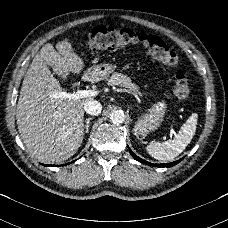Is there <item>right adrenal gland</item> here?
Masks as SVG:
<instances>
[{
    "instance_id": "1",
    "label": "right adrenal gland",
    "mask_w": 228,
    "mask_h": 228,
    "mask_svg": "<svg viewBox=\"0 0 228 228\" xmlns=\"http://www.w3.org/2000/svg\"><path fill=\"white\" fill-rule=\"evenodd\" d=\"M91 118L86 119V133L89 131V124H90Z\"/></svg>"
}]
</instances>
